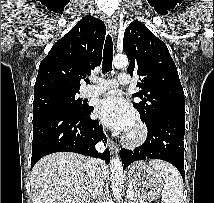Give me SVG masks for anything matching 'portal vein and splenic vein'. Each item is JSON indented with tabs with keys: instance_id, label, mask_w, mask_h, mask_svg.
Returning a JSON list of instances; mask_svg holds the SVG:
<instances>
[{
	"instance_id": "portal-vein-and-splenic-vein-1",
	"label": "portal vein and splenic vein",
	"mask_w": 214,
	"mask_h": 203,
	"mask_svg": "<svg viewBox=\"0 0 214 203\" xmlns=\"http://www.w3.org/2000/svg\"><path fill=\"white\" fill-rule=\"evenodd\" d=\"M133 196H134L133 190L132 189H128V191H127V198H129L130 200H132Z\"/></svg>"
}]
</instances>
